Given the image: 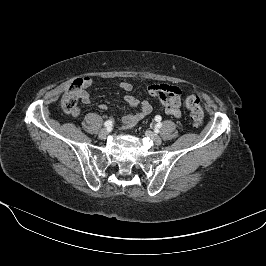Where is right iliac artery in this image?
<instances>
[{
	"instance_id": "obj_1",
	"label": "right iliac artery",
	"mask_w": 266,
	"mask_h": 266,
	"mask_svg": "<svg viewBox=\"0 0 266 266\" xmlns=\"http://www.w3.org/2000/svg\"><path fill=\"white\" fill-rule=\"evenodd\" d=\"M112 124H113V122H112L111 120H108V121H106V122L104 123V126H105L106 128H111V127H112Z\"/></svg>"
}]
</instances>
